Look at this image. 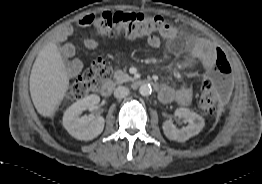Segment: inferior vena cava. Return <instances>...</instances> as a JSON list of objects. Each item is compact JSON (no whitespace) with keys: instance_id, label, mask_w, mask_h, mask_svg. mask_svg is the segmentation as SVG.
<instances>
[{"instance_id":"1","label":"inferior vena cava","mask_w":262,"mask_h":184,"mask_svg":"<svg viewBox=\"0 0 262 184\" xmlns=\"http://www.w3.org/2000/svg\"><path fill=\"white\" fill-rule=\"evenodd\" d=\"M129 89L127 87H124V86H119L117 87L115 90H114V96L116 98H119V99H122L126 96L129 95Z\"/></svg>"}]
</instances>
